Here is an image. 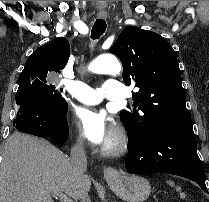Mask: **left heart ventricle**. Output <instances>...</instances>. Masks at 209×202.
Listing matches in <instances>:
<instances>
[{"label": "left heart ventricle", "instance_id": "b2bd125f", "mask_svg": "<svg viewBox=\"0 0 209 202\" xmlns=\"http://www.w3.org/2000/svg\"><path fill=\"white\" fill-rule=\"evenodd\" d=\"M114 139V137H112L108 142H111Z\"/></svg>", "mask_w": 209, "mask_h": 202}]
</instances>
